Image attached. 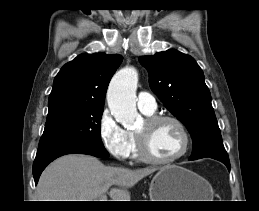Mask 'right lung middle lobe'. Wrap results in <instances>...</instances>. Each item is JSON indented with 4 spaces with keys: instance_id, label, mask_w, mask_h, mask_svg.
Wrapping results in <instances>:
<instances>
[{
    "instance_id": "right-lung-middle-lobe-1",
    "label": "right lung middle lobe",
    "mask_w": 259,
    "mask_h": 211,
    "mask_svg": "<svg viewBox=\"0 0 259 211\" xmlns=\"http://www.w3.org/2000/svg\"><path fill=\"white\" fill-rule=\"evenodd\" d=\"M103 108L71 110L48 119L38 148L59 143L104 147L100 135Z\"/></svg>"
}]
</instances>
